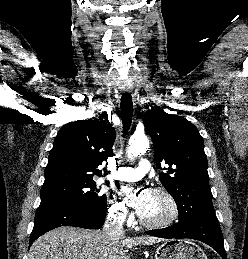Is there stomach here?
<instances>
[{
  "instance_id": "1",
  "label": "stomach",
  "mask_w": 248,
  "mask_h": 259,
  "mask_svg": "<svg viewBox=\"0 0 248 259\" xmlns=\"http://www.w3.org/2000/svg\"><path fill=\"white\" fill-rule=\"evenodd\" d=\"M154 259H207L203 250L188 240H168L155 251Z\"/></svg>"
}]
</instances>
